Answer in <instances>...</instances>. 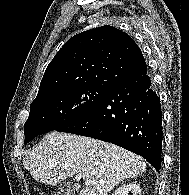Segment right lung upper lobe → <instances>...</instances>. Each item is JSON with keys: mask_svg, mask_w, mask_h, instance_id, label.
Instances as JSON below:
<instances>
[{"mask_svg": "<svg viewBox=\"0 0 189 195\" xmlns=\"http://www.w3.org/2000/svg\"><path fill=\"white\" fill-rule=\"evenodd\" d=\"M146 69L140 48L128 34L113 26L94 28L62 46L46 68L37 97L73 87L110 90Z\"/></svg>", "mask_w": 189, "mask_h": 195, "instance_id": "obj_1", "label": "right lung upper lobe"}]
</instances>
